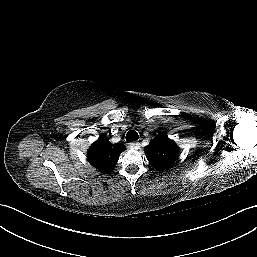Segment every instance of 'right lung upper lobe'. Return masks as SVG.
<instances>
[{"mask_svg":"<svg viewBox=\"0 0 257 257\" xmlns=\"http://www.w3.org/2000/svg\"><path fill=\"white\" fill-rule=\"evenodd\" d=\"M126 149L122 143L112 144L105 136H100L87 152L89 163L103 174L114 170L119 155Z\"/></svg>","mask_w":257,"mask_h":257,"instance_id":"right-lung-upper-lobe-1","label":"right lung upper lobe"}]
</instances>
